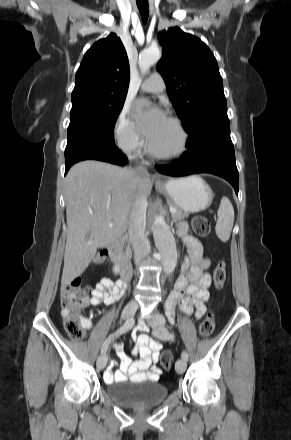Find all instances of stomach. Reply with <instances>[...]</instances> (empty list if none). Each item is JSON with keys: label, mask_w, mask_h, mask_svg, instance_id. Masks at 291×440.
<instances>
[{"label": "stomach", "mask_w": 291, "mask_h": 440, "mask_svg": "<svg viewBox=\"0 0 291 440\" xmlns=\"http://www.w3.org/2000/svg\"><path fill=\"white\" fill-rule=\"evenodd\" d=\"M157 190L167 195L174 205L187 213H196L208 208L214 198L211 187L199 176L170 179Z\"/></svg>", "instance_id": "1"}]
</instances>
